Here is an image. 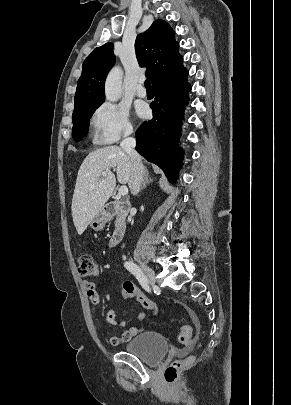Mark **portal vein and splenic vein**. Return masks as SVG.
<instances>
[{
  "instance_id": "1",
  "label": "portal vein and splenic vein",
  "mask_w": 291,
  "mask_h": 405,
  "mask_svg": "<svg viewBox=\"0 0 291 405\" xmlns=\"http://www.w3.org/2000/svg\"><path fill=\"white\" fill-rule=\"evenodd\" d=\"M107 173L106 172H104L103 173V175H106ZM119 195H121V196H126L127 194H128V188L126 187V186H121L120 188H119Z\"/></svg>"
}]
</instances>
